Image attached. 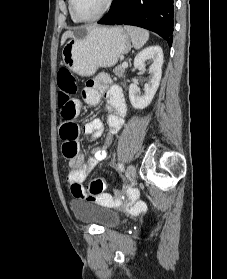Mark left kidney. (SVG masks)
Here are the masks:
<instances>
[{
    "mask_svg": "<svg viewBox=\"0 0 227 279\" xmlns=\"http://www.w3.org/2000/svg\"><path fill=\"white\" fill-rule=\"evenodd\" d=\"M152 60V65L149 67L151 79L144 86V94L140 95L139 87L136 84L129 86V99L135 109H144L152 101L161 80L163 51L160 46L147 47L139 52L134 59V67L142 72H145V61Z\"/></svg>",
    "mask_w": 227,
    "mask_h": 279,
    "instance_id": "obj_1",
    "label": "left kidney"
}]
</instances>
